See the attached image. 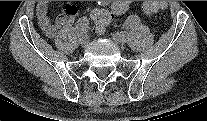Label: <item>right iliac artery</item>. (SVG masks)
<instances>
[{
    "label": "right iliac artery",
    "instance_id": "82829eb1",
    "mask_svg": "<svg viewBox=\"0 0 207 121\" xmlns=\"http://www.w3.org/2000/svg\"><path fill=\"white\" fill-rule=\"evenodd\" d=\"M88 24V19L86 17L79 19L77 28L79 29L82 35L86 34L88 30Z\"/></svg>",
    "mask_w": 207,
    "mask_h": 121
}]
</instances>
